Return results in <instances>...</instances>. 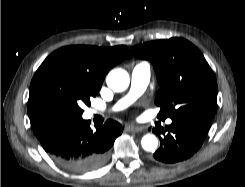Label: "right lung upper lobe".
<instances>
[{
    "label": "right lung upper lobe",
    "instance_id": "1",
    "mask_svg": "<svg viewBox=\"0 0 245 187\" xmlns=\"http://www.w3.org/2000/svg\"><path fill=\"white\" fill-rule=\"evenodd\" d=\"M131 56L124 45L110 48L96 46H67L54 51L50 57L62 59L88 76L90 81L100 86L113 66Z\"/></svg>",
    "mask_w": 245,
    "mask_h": 187
}]
</instances>
